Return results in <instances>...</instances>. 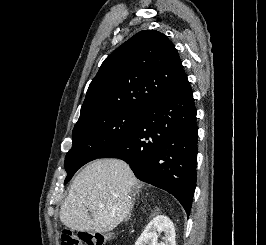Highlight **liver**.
<instances>
[{
    "label": "liver",
    "mask_w": 266,
    "mask_h": 245,
    "mask_svg": "<svg viewBox=\"0 0 266 245\" xmlns=\"http://www.w3.org/2000/svg\"><path fill=\"white\" fill-rule=\"evenodd\" d=\"M136 185L139 181L124 161H91L75 177L60 209V221L71 231H113L129 215Z\"/></svg>",
    "instance_id": "6515ba94"
}]
</instances>
